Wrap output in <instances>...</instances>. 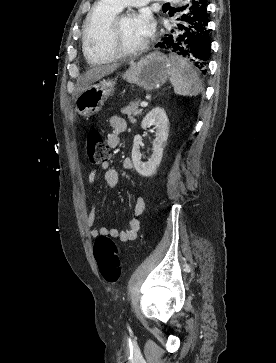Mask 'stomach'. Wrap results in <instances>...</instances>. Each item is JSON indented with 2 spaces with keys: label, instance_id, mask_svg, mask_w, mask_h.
<instances>
[{
  "label": "stomach",
  "instance_id": "0dacf381",
  "mask_svg": "<svg viewBox=\"0 0 276 363\" xmlns=\"http://www.w3.org/2000/svg\"><path fill=\"white\" fill-rule=\"evenodd\" d=\"M170 58L160 52H153L138 61H132L122 78L146 91L162 87L171 77ZM115 79H102L92 83L76 98V111L84 117L98 113L107 99L113 94Z\"/></svg>",
  "mask_w": 276,
  "mask_h": 363
}]
</instances>
